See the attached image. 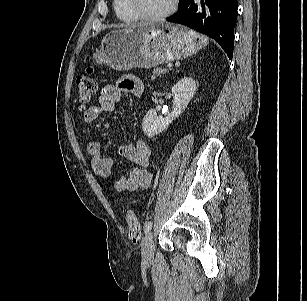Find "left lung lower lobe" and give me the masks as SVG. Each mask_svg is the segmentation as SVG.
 Segmentation results:
<instances>
[{"label": "left lung lower lobe", "instance_id": "0a47b994", "mask_svg": "<svg viewBox=\"0 0 307 301\" xmlns=\"http://www.w3.org/2000/svg\"><path fill=\"white\" fill-rule=\"evenodd\" d=\"M180 9L169 22L184 24L214 40L232 59L237 0H180Z\"/></svg>", "mask_w": 307, "mask_h": 301}]
</instances>
